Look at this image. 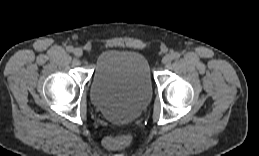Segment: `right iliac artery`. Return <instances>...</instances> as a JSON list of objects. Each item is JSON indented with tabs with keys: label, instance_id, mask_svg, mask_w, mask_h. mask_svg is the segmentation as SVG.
<instances>
[{
	"label": "right iliac artery",
	"instance_id": "right-iliac-artery-1",
	"mask_svg": "<svg viewBox=\"0 0 259 156\" xmlns=\"http://www.w3.org/2000/svg\"><path fill=\"white\" fill-rule=\"evenodd\" d=\"M66 50H67L68 52H72L74 49H73L72 46H67V47H66Z\"/></svg>",
	"mask_w": 259,
	"mask_h": 156
}]
</instances>
